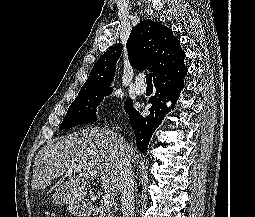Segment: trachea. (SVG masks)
<instances>
[{
  "mask_svg": "<svg viewBox=\"0 0 255 217\" xmlns=\"http://www.w3.org/2000/svg\"><path fill=\"white\" fill-rule=\"evenodd\" d=\"M146 83L148 85H152V75H151V73L146 75Z\"/></svg>",
  "mask_w": 255,
  "mask_h": 217,
  "instance_id": "trachea-1",
  "label": "trachea"
}]
</instances>
